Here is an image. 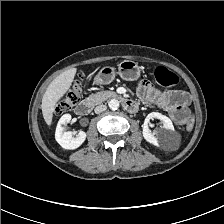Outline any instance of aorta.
I'll return each mask as SVG.
<instances>
[{
    "label": "aorta",
    "instance_id": "obj_1",
    "mask_svg": "<svg viewBox=\"0 0 224 224\" xmlns=\"http://www.w3.org/2000/svg\"><path fill=\"white\" fill-rule=\"evenodd\" d=\"M108 106L112 110H117L119 108V101L117 99H111L108 102Z\"/></svg>",
    "mask_w": 224,
    "mask_h": 224
}]
</instances>
